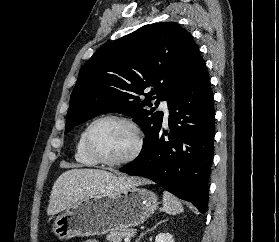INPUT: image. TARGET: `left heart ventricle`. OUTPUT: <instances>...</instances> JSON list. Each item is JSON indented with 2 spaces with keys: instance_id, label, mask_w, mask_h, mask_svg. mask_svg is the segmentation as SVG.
<instances>
[{
  "instance_id": "1",
  "label": "left heart ventricle",
  "mask_w": 279,
  "mask_h": 242,
  "mask_svg": "<svg viewBox=\"0 0 279 242\" xmlns=\"http://www.w3.org/2000/svg\"><path fill=\"white\" fill-rule=\"evenodd\" d=\"M94 149L104 158L118 160L133 150L135 135L126 124L117 121H104L93 130Z\"/></svg>"
}]
</instances>
